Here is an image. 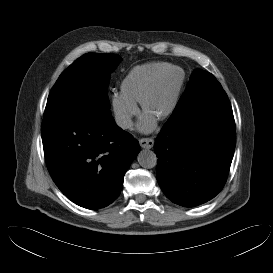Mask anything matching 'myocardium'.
Listing matches in <instances>:
<instances>
[{
	"instance_id": "f54148a6",
	"label": "myocardium",
	"mask_w": 273,
	"mask_h": 273,
	"mask_svg": "<svg viewBox=\"0 0 273 273\" xmlns=\"http://www.w3.org/2000/svg\"><path fill=\"white\" fill-rule=\"evenodd\" d=\"M168 72H170V69H163L161 71H159L155 76L154 78L150 81V83L147 85V87L145 88V90L143 91L142 95H141V98H140V105H141V108H142V111L144 112V114H146V105H147V101L150 97V95L152 94V92L154 91L155 87L157 86V84L159 83V81L161 80V78L167 74ZM183 80H184V75L183 73L181 72V74H179V81H178V85H177V88H176V91H175V94H174V97H173V100L169 106V108H167L165 110L164 113H162L158 119L160 120H164V119H167L169 118L173 112L175 111L176 109V106L178 104V101H179V97H180V93H181V90H182V87H183Z\"/></svg>"
}]
</instances>
